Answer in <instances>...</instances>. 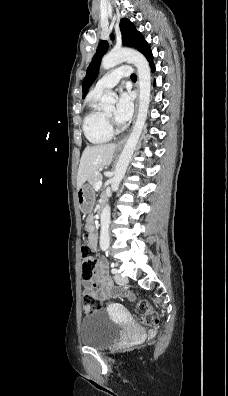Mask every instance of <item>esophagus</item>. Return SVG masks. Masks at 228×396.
Instances as JSON below:
<instances>
[{
	"label": "esophagus",
	"instance_id": "esophagus-1",
	"mask_svg": "<svg viewBox=\"0 0 228 396\" xmlns=\"http://www.w3.org/2000/svg\"><path fill=\"white\" fill-rule=\"evenodd\" d=\"M135 89H136V92H137V100H136V104H135V116H134V121H135V118H136V116H137L138 103H139V87H138V81H137V83H136V85H135ZM127 138H128V136H126V137L123 138L121 141H119V143H118V147H119V148L124 146V144H125L126 141H127Z\"/></svg>",
	"mask_w": 228,
	"mask_h": 396
}]
</instances>
